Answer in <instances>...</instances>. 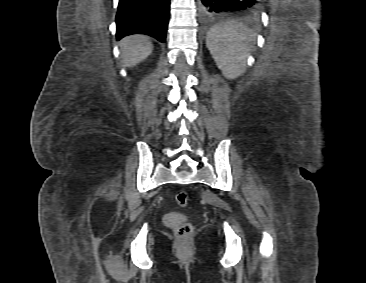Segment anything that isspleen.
<instances>
[{"instance_id": "obj_1", "label": "spleen", "mask_w": 366, "mask_h": 283, "mask_svg": "<svg viewBox=\"0 0 366 283\" xmlns=\"http://www.w3.org/2000/svg\"><path fill=\"white\" fill-rule=\"evenodd\" d=\"M253 38L249 28L235 21L215 25L208 32L206 46L227 79H235L245 72Z\"/></svg>"}]
</instances>
